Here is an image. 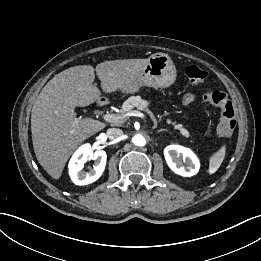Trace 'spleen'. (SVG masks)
Instances as JSON below:
<instances>
[{
  "label": "spleen",
  "mask_w": 261,
  "mask_h": 261,
  "mask_svg": "<svg viewBox=\"0 0 261 261\" xmlns=\"http://www.w3.org/2000/svg\"><path fill=\"white\" fill-rule=\"evenodd\" d=\"M225 152H226V148L225 146H222L216 153H214L210 157L209 169H208L209 174H214L219 169V167L221 166L224 160Z\"/></svg>",
  "instance_id": "obj_1"
}]
</instances>
